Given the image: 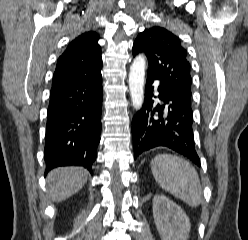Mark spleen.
<instances>
[{
  "label": "spleen",
  "instance_id": "3e777b00",
  "mask_svg": "<svg viewBox=\"0 0 248 240\" xmlns=\"http://www.w3.org/2000/svg\"><path fill=\"white\" fill-rule=\"evenodd\" d=\"M155 181L168 193L181 199L191 207L202 200V188L195 168L185 159L160 154L151 161Z\"/></svg>",
  "mask_w": 248,
  "mask_h": 240
}]
</instances>
